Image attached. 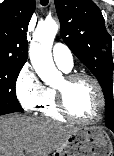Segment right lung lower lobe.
Wrapping results in <instances>:
<instances>
[{
	"label": "right lung lower lobe",
	"mask_w": 114,
	"mask_h": 156,
	"mask_svg": "<svg viewBox=\"0 0 114 156\" xmlns=\"http://www.w3.org/2000/svg\"><path fill=\"white\" fill-rule=\"evenodd\" d=\"M8 113H12V112H10V111H0V115L8 114Z\"/></svg>",
	"instance_id": "98d812e1"
}]
</instances>
